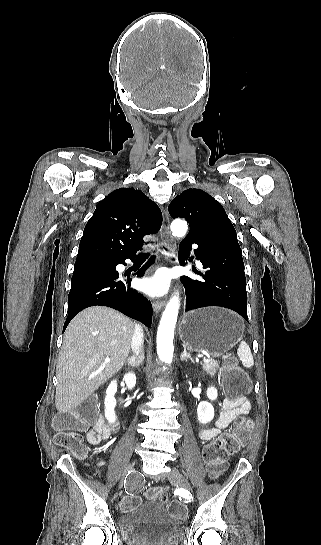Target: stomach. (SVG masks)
<instances>
[{
    "label": "stomach",
    "instance_id": "stomach-1",
    "mask_svg": "<svg viewBox=\"0 0 321 545\" xmlns=\"http://www.w3.org/2000/svg\"><path fill=\"white\" fill-rule=\"evenodd\" d=\"M244 323L236 313L221 307H206L185 313L179 325V337L190 351L224 355L241 341Z\"/></svg>",
    "mask_w": 321,
    "mask_h": 545
}]
</instances>
